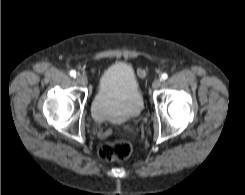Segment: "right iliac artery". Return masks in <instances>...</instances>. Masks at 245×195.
Masks as SVG:
<instances>
[{"label":"right iliac artery","instance_id":"right-iliac-artery-1","mask_svg":"<svg viewBox=\"0 0 245 195\" xmlns=\"http://www.w3.org/2000/svg\"><path fill=\"white\" fill-rule=\"evenodd\" d=\"M70 76H72V77H76V71L71 70V71H70Z\"/></svg>","mask_w":245,"mask_h":195}]
</instances>
